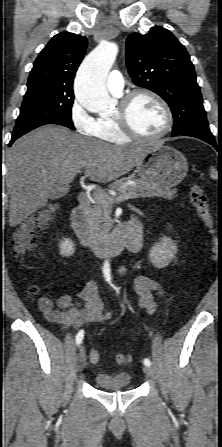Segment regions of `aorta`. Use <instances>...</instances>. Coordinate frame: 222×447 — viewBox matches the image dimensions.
I'll return each instance as SVG.
<instances>
[{
	"label": "aorta",
	"mask_w": 222,
	"mask_h": 447,
	"mask_svg": "<svg viewBox=\"0 0 222 447\" xmlns=\"http://www.w3.org/2000/svg\"><path fill=\"white\" fill-rule=\"evenodd\" d=\"M117 53V44L103 41L86 56L78 69L75 97L90 112L105 113L111 109L112 100L107 92L105 79Z\"/></svg>",
	"instance_id": "obj_1"
}]
</instances>
